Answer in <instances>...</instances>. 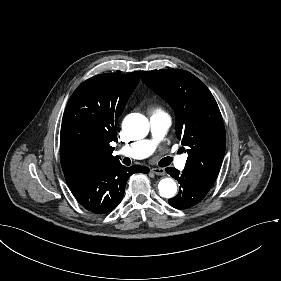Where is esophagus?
Masks as SVG:
<instances>
[{
	"mask_svg": "<svg viewBox=\"0 0 281 281\" xmlns=\"http://www.w3.org/2000/svg\"><path fill=\"white\" fill-rule=\"evenodd\" d=\"M150 171L158 176H164L166 174L164 168H152Z\"/></svg>",
	"mask_w": 281,
	"mask_h": 281,
	"instance_id": "34e87169",
	"label": "esophagus"
}]
</instances>
